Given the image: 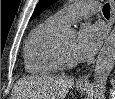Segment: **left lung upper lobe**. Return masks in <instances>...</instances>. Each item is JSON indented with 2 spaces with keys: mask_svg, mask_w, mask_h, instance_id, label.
I'll list each match as a JSON object with an SVG mask.
<instances>
[{
  "mask_svg": "<svg viewBox=\"0 0 115 99\" xmlns=\"http://www.w3.org/2000/svg\"><path fill=\"white\" fill-rule=\"evenodd\" d=\"M56 0H40L33 12L31 19L39 15L43 10H45L48 6L54 3Z\"/></svg>",
  "mask_w": 115,
  "mask_h": 99,
  "instance_id": "1",
  "label": "left lung upper lobe"
}]
</instances>
